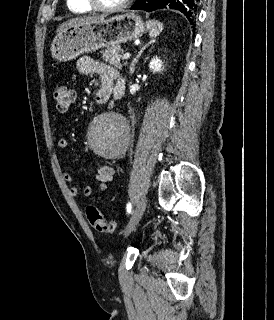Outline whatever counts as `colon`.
I'll return each mask as SVG.
<instances>
[{
	"label": "colon",
	"instance_id": "1",
	"mask_svg": "<svg viewBox=\"0 0 274 320\" xmlns=\"http://www.w3.org/2000/svg\"><path fill=\"white\" fill-rule=\"evenodd\" d=\"M52 98L55 102L56 109L59 112H65L73 103L74 96L70 88L65 85L55 86L52 90ZM86 215L89 223L100 233H112L115 229V221H107L95 205L86 209Z\"/></svg>",
	"mask_w": 274,
	"mask_h": 320
}]
</instances>
